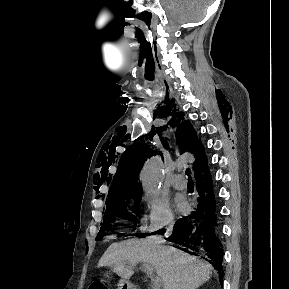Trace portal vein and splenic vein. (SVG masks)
I'll return each mask as SVG.
<instances>
[{
  "label": "portal vein and splenic vein",
  "instance_id": "obj_1",
  "mask_svg": "<svg viewBox=\"0 0 289 289\" xmlns=\"http://www.w3.org/2000/svg\"><path fill=\"white\" fill-rule=\"evenodd\" d=\"M143 267L147 274L152 275V289H160L161 283L158 277H153V268L148 264H143Z\"/></svg>",
  "mask_w": 289,
  "mask_h": 289
}]
</instances>
